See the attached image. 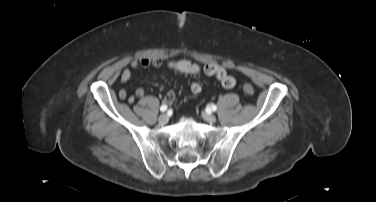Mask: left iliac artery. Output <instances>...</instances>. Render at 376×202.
<instances>
[{
	"instance_id": "left-iliac-artery-1",
	"label": "left iliac artery",
	"mask_w": 376,
	"mask_h": 202,
	"mask_svg": "<svg viewBox=\"0 0 376 202\" xmlns=\"http://www.w3.org/2000/svg\"><path fill=\"white\" fill-rule=\"evenodd\" d=\"M210 108H211L212 111H216L217 110V106L216 105H211Z\"/></svg>"
}]
</instances>
